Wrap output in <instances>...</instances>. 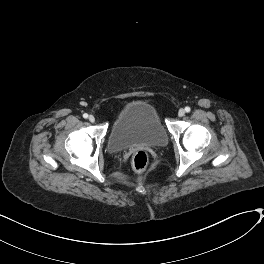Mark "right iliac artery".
<instances>
[{
  "instance_id": "1",
  "label": "right iliac artery",
  "mask_w": 264,
  "mask_h": 264,
  "mask_svg": "<svg viewBox=\"0 0 264 264\" xmlns=\"http://www.w3.org/2000/svg\"><path fill=\"white\" fill-rule=\"evenodd\" d=\"M83 118H85V119L88 118V114L87 113H84L83 114Z\"/></svg>"
}]
</instances>
